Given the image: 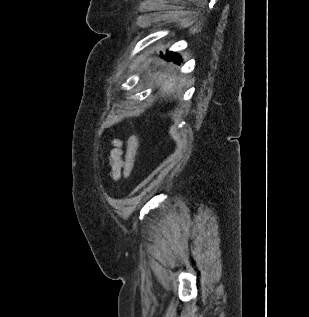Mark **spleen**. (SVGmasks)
Instances as JSON below:
<instances>
[{
    "instance_id": "1",
    "label": "spleen",
    "mask_w": 309,
    "mask_h": 317,
    "mask_svg": "<svg viewBox=\"0 0 309 317\" xmlns=\"http://www.w3.org/2000/svg\"><path fill=\"white\" fill-rule=\"evenodd\" d=\"M159 82L162 84L163 86V90L164 91H173V86H174V82L173 79L171 77H168L167 75H159L158 77Z\"/></svg>"
}]
</instances>
